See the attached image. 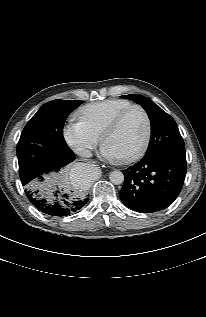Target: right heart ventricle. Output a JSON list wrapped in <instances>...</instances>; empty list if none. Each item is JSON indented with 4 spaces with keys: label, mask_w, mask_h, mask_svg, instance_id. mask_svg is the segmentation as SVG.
Listing matches in <instances>:
<instances>
[{
    "label": "right heart ventricle",
    "mask_w": 206,
    "mask_h": 317,
    "mask_svg": "<svg viewBox=\"0 0 206 317\" xmlns=\"http://www.w3.org/2000/svg\"><path fill=\"white\" fill-rule=\"evenodd\" d=\"M132 103L122 99H108L83 106L78 111V117L92 133L101 136L108 123Z\"/></svg>",
    "instance_id": "1"
}]
</instances>
